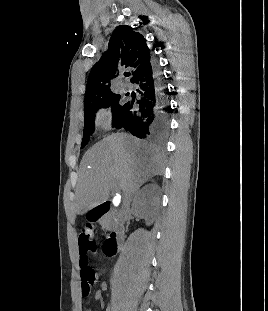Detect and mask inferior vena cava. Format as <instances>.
<instances>
[{
  "label": "inferior vena cava",
  "mask_w": 268,
  "mask_h": 311,
  "mask_svg": "<svg viewBox=\"0 0 268 311\" xmlns=\"http://www.w3.org/2000/svg\"><path fill=\"white\" fill-rule=\"evenodd\" d=\"M129 202H130V196L125 197L124 203H123V212L128 210L129 208Z\"/></svg>",
  "instance_id": "1"
}]
</instances>
